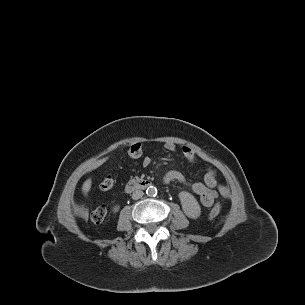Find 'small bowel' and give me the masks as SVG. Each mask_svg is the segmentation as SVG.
Segmentation results:
<instances>
[{
  "label": "small bowel",
  "instance_id": "obj_1",
  "mask_svg": "<svg viewBox=\"0 0 305 305\" xmlns=\"http://www.w3.org/2000/svg\"><path fill=\"white\" fill-rule=\"evenodd\" d=\"M164 147L166 150L172 153L177 151V147L173 142H166L164 144ZM181 153L189 163H193L195 161L196 151L192 147L188 145H183L181 147ZM150 163H151L150 157H144L142 159V164L144 166H148L150 165ZM163 181L165 183H170L172 181H177L183 184L187 183L183 174L177 170L168 171L165 174ZM189 186L191 190L200 197V201L202 205L205 207L212 206L214 201L218 197L219 193L224 197L229 196L228 188L223 184L218 183L217 174L213 168L207 169L203 182H194L189 184Z\"/></svg>",
  "mask_w": 305,
  "mask_h": 305
}]
</instances>
